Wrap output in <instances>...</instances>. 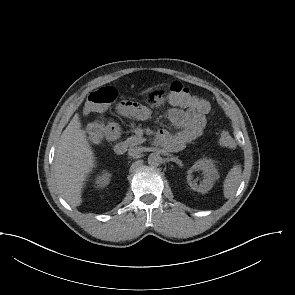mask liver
<instances>
[{
  "label": "liver",
  "mask_w": 295,
  "mask_h": 295,
  "mask_svg": "<svg viewBox=\"0 0 295 295\" xmlns=\"http://www.w3.org/2000/svg\"><path fill=\"white\" fill-rule=\"evenodd\" d=\"M81 127L76 114L60 137L53 166L57 188L73 207L81 205L84 181L95 167L94 152Z\"/></svg>",
  "instance_id": "obj_1"
}]
</instances>
